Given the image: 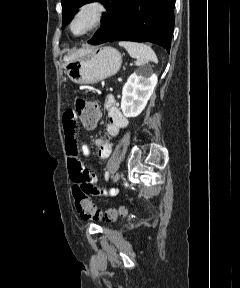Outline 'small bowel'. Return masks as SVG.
I'll return each instance as SVG.
<instances>
[{
	"mask_svg": "<svg viewBox=\"0 0 240 288\" xmlns=\"http://www.w3.org/2000/svg\"><path fill=\"white\" fill-rule=\"evenodd\" d=\"M104 108L108 116L106 138H98L95 140V145L98 147V155L101 159L109 157L113 144L111 138L117 136L119 132L125 130L129 125V120L116 105L115 97L112 94H107L104 98ZM77 115L72 109L66 110L62 117L63 131L66 144V152L68 156V169L71 181L74 186H79L86 193L94 195L106 194V191L96 187L97 176L95 173L87 170L80 160V150L89 156L90 151L86 145H79L77 132ZM117 190H111L110 194L115 195Z\"/></svg>",
	"mask_w": 240,
	"mask_h": 288,
	"instance_id": "1",
	"label": "small bowel"
}]
</instances>
